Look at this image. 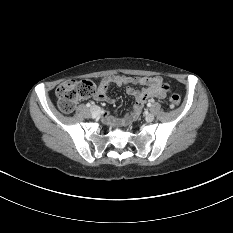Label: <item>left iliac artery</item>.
Segmentation results:
<instances>
[{"instance_id":"left-iliac-artery-1","label":"left iliac artery","mask_w":233,"mask_h":233,"mask_svg":"<svg viewBox=\"0 0 233 233\" xmlns=\"http://www.w3.org/2000/svg\"><path fill=\"white\" fill-rule=\"evenodd\" d=\"M147 106H148V107H151V103L149 102V103L147 104Z\"/></svg>"}]
</instances>
